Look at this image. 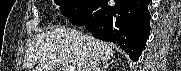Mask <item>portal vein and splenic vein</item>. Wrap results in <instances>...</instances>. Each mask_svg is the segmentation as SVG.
<instances>
[{"instance_id":"18ae733b","label":"portal vein and splenic vein","mask_w":181,"mask_h":71,"mask_svg":"<svg viewBox=\"0 0 181 71\" xmlns=\"http://www.w3.org/2000/svg\"><path fill=\"white\" fill-rule=\"evenodd\" d=\"M65 71H75V69L72 68V67H68V68L65 69Z\"/></svg>"}]
</instances>
